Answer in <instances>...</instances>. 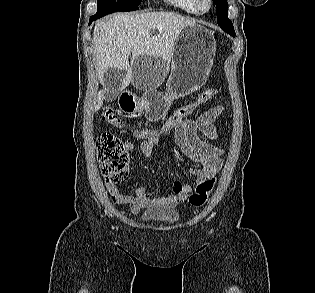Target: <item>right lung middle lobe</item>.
<instances>
[{
  "mask_svg": "<svg viewBox=\"0 0 315 293\" xmlns=\"http://www.w3.org/2000/svg\"><path fill=\"white\" fill-rule=\"evenodd\" d=\"M142 0H97V10L133 11Z\"/></svg>",
  "mask_w": 315,
  "mask_h": 293,
  "instance_id": "1",
  "label": "right lung middle lobe"
}]
</instances>
